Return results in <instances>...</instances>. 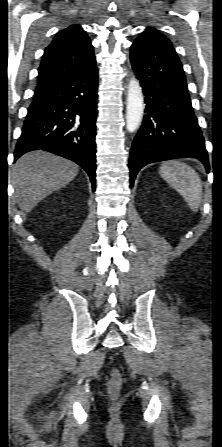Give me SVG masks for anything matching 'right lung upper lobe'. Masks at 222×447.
<instances>
[{
	"label": "right lung upper lobe",
	"mask_w": 222,
	"mask_h": 447,
	"mask_svg": "<svg viewBox=\"0 0 222 447\" xmlns=\"http://www.w3.org/2000/svg\"><path fill=\"white\" fill-rule=\"evenodd\" d=\"M94 59L91 41L80 25H71L58 32L44 51L35 99L73 78Z\"/></svg>",
	"instance_id": "right-lung-upper-lobe-1"
}]
</instances>
